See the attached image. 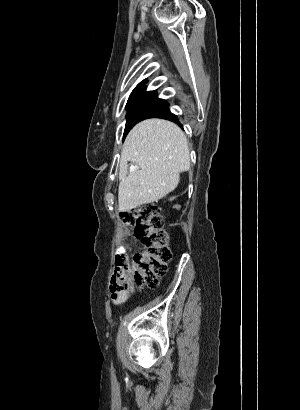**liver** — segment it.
<instances>
[{
    "label": "liver",
    "mask_w": 300,
    "mask_h": 410,
    "mask_svg": "<svg viewBox=\"0 0 300 410\" xmlns=\"http://www.w3.org/2000/svg\"><path fill=\"white\" fill-rule=\"evenodd\" d=\"M128 161L139 170L128 174ZM190 168L188 141L174 123L147 119L129 132L121 153L118 203L130 211L157 202L175 190L179 174Z\"/></svg>",
    "instance_id": "1"
}]
</instances>
